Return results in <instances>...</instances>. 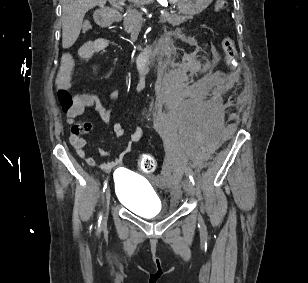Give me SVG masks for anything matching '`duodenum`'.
<instances>
[{
	"label": "duodenum",
	"mask_w": 308,
	"mask_h": 283,
	"mask_svg": "<svg viewBox=\"0 0 308 283\" xmlns=\"http://www.w3.org/2000/svg\"><path fill=\"white\" fill-rule=\"evenodd\" d=\"M122 12L119 9H109L107 11H104L99 17H98V22L99 24L106 26L110 25L112 23L119 22L122 19ZM151 49L148 46L147 48L142 49V53L140 54L138 58V68L139 69H144L147 60L149 58V55H151Z\"/></svg>",
	"instance_id": "obj_1"
}]
</instances>
